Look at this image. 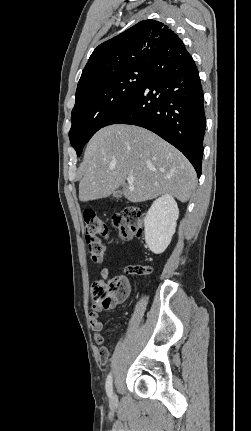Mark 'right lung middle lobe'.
<instances>
[{
    "instance_id": "1",
    "label": "right lung middle lobe",
    "mask_w": 251,
    "mask_h": 431,
    "mask_svg": "<svg viewBox=\"0 0 251 431\" xmlns=\"http://www.w3.org/2000/svg\"><path fill=\"white\" fill-rule=\"evenodd\" d=\"M147 67H135L76 93L72 110L71 145L79 156L84 145L141 87Z\"/></svg>"
}]
</instances>
